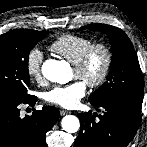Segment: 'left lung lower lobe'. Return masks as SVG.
Masks as SVG:
<instances>
[{
	"label": "left lung lower lobe",
	"mask_w": 147,
	"mask_h": 147,
	"mask_svg": "<svg viewBox=\"0 0 147 147\" xmlns=\"http://www.w3.org/2000/svg\"><path fill=\"white\" fill-rule=\"evenodd\" d=\"M92 105L104 108V114L98 121L91 112L78 114L81 128L74 147H126L139 128L141 108L124 102Z\"/></svg>",
	"instance_id": "left-lung-lower-lobe-1"
}]
</instances>
